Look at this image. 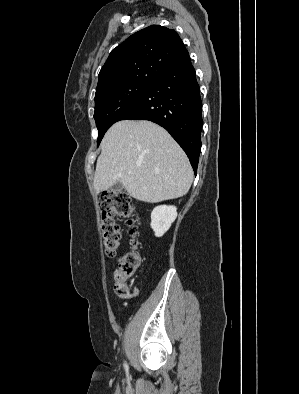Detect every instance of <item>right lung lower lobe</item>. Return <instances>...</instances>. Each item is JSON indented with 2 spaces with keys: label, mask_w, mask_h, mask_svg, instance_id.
<instances>
[{
  "label": "right lung lower lobe",
  "mask_w": 299,
  "mask_h": 394,
  "mask_svg": "<svg viewBox=\"0 0 299 394\" xmlns=\"http://www.w3.org/2000/svg\"><path fill=\"white\" fill-rule=\"evenodd\" d=\"M126 119L149 120L164 127L185 151L196 174L202 102L190 57L156 78L119 121Z\"/></svg>",
  "instance_id": "1"
}]
</instances>
